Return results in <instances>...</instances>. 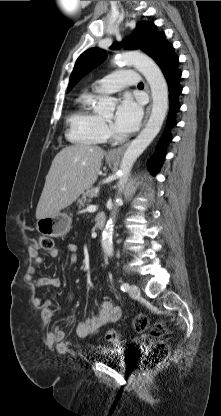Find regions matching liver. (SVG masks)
Instances as JSON below:
<instances>
[{"instance_id": "liver-1", "label": "liver", "mask_w": 221, "mask_h": 416, "mask_svg": "<svg viewBox=\"0 0 221 416\" xmlns=\"http://www.w3.org/2000/svg\"><path fill=\"white\" fill-rule=\"evenodd\" d=\"M103 157L102 148L86 144L67 146L58 152L46 176L36 218L55 215L76 201L96 182Z\"/></svg>"}]
</instances>
